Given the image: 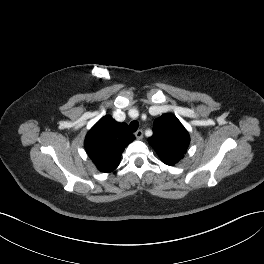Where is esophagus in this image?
I'll return each instance as SVG.
<instances>
[{"label": "esophagus", "mask_w": 264, "mask_h": 264, "mask_svg": "<svg viewBox=\"0 0 264 264\" xmlns=\"http://www.w3.org/2000/svg\"><path fill=\"white\" fill-rule=\"evenodd\" d=\"M135 137L138 139V140H140V139H142L143 138V131L140 129V130H137L136 132H135Z\"/></svg>", "instance_id": "obj_1"}]
</instances>
